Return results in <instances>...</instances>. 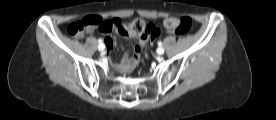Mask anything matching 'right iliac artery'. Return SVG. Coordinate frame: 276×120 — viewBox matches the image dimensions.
I'll use <instances>...</instances> for the list:
<instances>
[{"label":"right iliac artery","mask_w":276,"mask_h":120,"mask_svg":"<svg viewBox=\"0 0 276 120\" xmlns=\"http://www.w3.org/2000/svg\"><path fill=\"white\" fill-rule=\"evenodd\" d=\"M98 42H99V45L103 44V40L102 39H99Z\"/></svg>","instance_id":"right-iliac-artery-1"}]
</instances>
